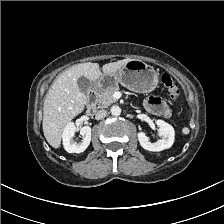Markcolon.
Instances as JSON below:
<instances>
[{"label": "colon", "mask_w": 224, "mask_h": 224, "mask_svg": "<svg viewBox=\"0 0 224 224\" xmlns=\"http://www.w3.org/2000/svg\"><path fill=\"white\" fill-rule=\"evenodd\" d=\"M161 81L164 84V86L168 89L171 97L173 99H178L180 96V90L176 85L175 81L173 80V78L169 74L164 73L161 77Z\"/></svg>", "instance_id": "5ec220e1"}]
</instances>
